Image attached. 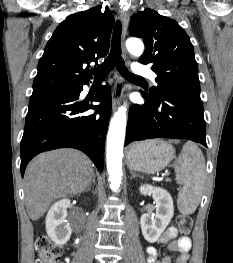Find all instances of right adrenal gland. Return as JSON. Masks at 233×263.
Instances as JSON below:
<instances>
[{"label":"right adrenal gland","mask_w":233,"mask_h":263,"mask_svg":"<svg viewBox=\"0 0 233 263\" xmlns=\"http://www.w3.org/2000/svg\"><path fill=\"white\" fill-rule=\"evenodd\" d=\"M92 183L95 185V175L92 177ZM91 189V184L87 187L86 191H89Z\"/></svg>","instance_id":"2a0ac1e0"}]
</instances>
